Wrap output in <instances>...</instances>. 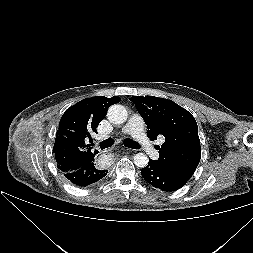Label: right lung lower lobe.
Returning a JSON list of instances; mask_svg holds the SVG:
<instances>
[{"instance_id":"1","label":"right lung lower lobe","mask_w":253,"mask_h":253,"mask_svg":"<svg viewBox=\"0 0 253 253\" xmlns=\"http://www.w3.org/2000/svg\"><path fill=\"white\" fill-rule=\"evenodd\" d=\"M107 174V170H100L95 162H91L78 170L64 173L65 177L74 185L85 187L91 185Z\"/></svg>"}]
</instances>
